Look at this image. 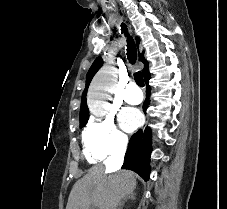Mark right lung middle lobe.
<instances>
[{
  "label": "right lung middle lobe",
  "mask_w": 227,
  "mask_h": 209,
  "mask_svg": "<svg viewBox=\"0 0 227 209\" xmlns=\"http://www.w3.org/2000/svg\"><path fill=\"white\" fill-rule=\"evenodd\" d=\"M88 121V118H81L80 119V128L84 127Z\"/></svg>",
  "instance_id": "1"
}]
</instances>
